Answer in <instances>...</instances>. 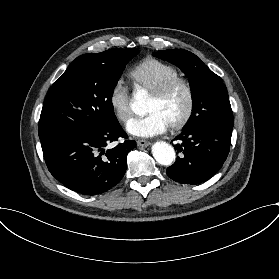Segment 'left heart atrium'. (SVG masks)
Segmentation results:
<instances>
[{"label":"left heart atrium","instance_id":"39dd6f15","mask_svg":"<svg viewBox=\"0 0 279 279\" xmlns=\"http://www.w3.org/2000/svg\"><path fill=\"white\" fill-rule=\"evenodd\" d=\"M169 127V122L159 111H152L145 117L131 119L126 130L136 137L152 138L163 134Z\"/></svg>","mask_w":279,"mask_h":279}]
</instances>
